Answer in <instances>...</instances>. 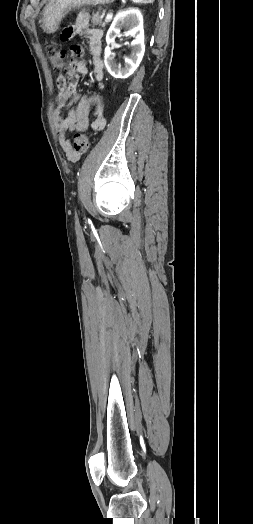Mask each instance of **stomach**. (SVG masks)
<instances>
[{
  "mask_svg": "<svg viewBox=\"0 0 253 524\" xmlns=\"http://www.w3.org/2000/svg\"><path fill=\"white\" fill-rule=\"evenodd\" d=\"M115 0H49L42 11L41 27L46 33H54L61 21L72 9L88 4H108Z\"/></svg>",
  "mask_w": 253,
  "mask_h": 524,
  "instance_id": "1",
  "label": "stomach"
}]
</instances>
